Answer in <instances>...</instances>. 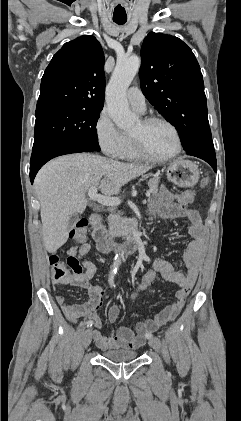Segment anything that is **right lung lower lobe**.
Returning a JSON list of instances; mask_svg holds the SVG:
<instances>
[{"label": "right lung lower lobe", "instance_id": "obj_1", "mask_svg": "<svg viewBox=\"0 0 241 421\" xmlns=\"http://www.w3.org/2000/svg\"><path fill=\"white\" fill-rule=\"evenodd\" d=\"M95 151L93 148L79 145V144H67L60 145L51 148H47L38 152L32 153L30 162V180L33 183L35 175L38 170L49 160L60 155L79 153V152H92Z\"/></svg>", "mask_w": 241, "mask_h": 421}]
</instances>
